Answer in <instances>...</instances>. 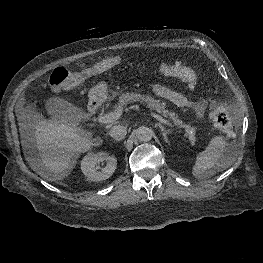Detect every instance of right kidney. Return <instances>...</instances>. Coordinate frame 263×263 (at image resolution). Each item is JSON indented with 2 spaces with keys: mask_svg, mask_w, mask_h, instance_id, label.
Segmentation results:
<instances>
[{
  "mask_svg": "<svg viewBox=\"0 0 263 263\" xmlns=\"http://www.w3.org/2000/svg\"><path fill=\"white\" fill-rule=\"evenodd\" d=\"M106 162L105 168L99 170V163ZM117 160L105 152L90 153L81 161V170L90 181L98 182L108 179L116 169Z\"/></svg>",
  "mask_w": 263,
  "mask_h": 263,
  "instance_id": "ca27d5eb",
  "label": "right kidney"
}]
</instances>
